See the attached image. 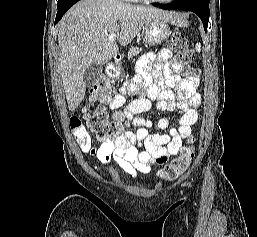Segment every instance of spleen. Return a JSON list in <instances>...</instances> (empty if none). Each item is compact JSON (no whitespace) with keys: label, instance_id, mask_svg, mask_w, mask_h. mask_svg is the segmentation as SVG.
Here are the masks:
<instances>
[{"label":"spleen","instance_id":"3e777b00","mask_svg":"<svg viewBox=\"0 0 257 237\" xmlns=\"http://www.w3.org/2000/svg\"><path fill=\"white\" fill-rule=\"evenodd\" d=\"M195 49L198 53H200L201 51V44L200 43H196Z\"/></svg>","mask_w":257,"mask_h":237}]
</instances>
